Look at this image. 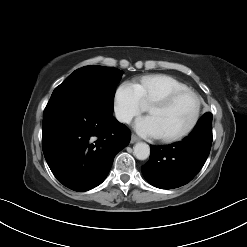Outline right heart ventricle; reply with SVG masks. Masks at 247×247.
<instances>
[{
	"mask_svg": "<svg viewBox=\"0 0 247 247\" xmlns=\"http://www.w3.org/2000/svg\"><path fill=\"white\" fill-rule=\"evenodd\" d=\"M144 107H149L162 96L177 90L188 88L186 84L166 74H152L141 77L133 82Z\"/></svg>",
	"mask_w": 247,
	"mask_h": 247,
	"instance_id": "1",
	"label": "right heart ventricle"
}]
</instances>
